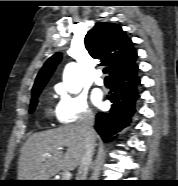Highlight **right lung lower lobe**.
<instances>
[{
    "label": "right lung lower lobe",
    "mask_w": 178,
    "mask_h": 186,
    "mask_svg": "<svg viewBox=\"0 0 178 186\" xmlns=\"http://www.w3.org/2000/svg\"><path fill=\"white\" fill-rule=\"evenodd\" d=\"M138 70V65L134 61L110 74L108 99L111 101L112 107L107 113H98L95 124V129L106 142L131 122L135 113V102L139 98Z\"/></svg>",
    "instance_id": "1"
}]
</instances>
